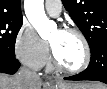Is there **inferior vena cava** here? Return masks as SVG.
<instances>
[{"label": "inferior vena cava", "mask_w": 107, "mask_h": 89, "mask_svg": "<svg viewBox=\"0 0 107 89\" xmlns=\"http://www.w3.org/2000/svg\"><path fill=\"white\" fill-rule=\"evenodd\" d=\"M18 75L25 79H39V76L35 72L29 70L26 67H21Z\"/></svg>", "instance_id": "602c4592"}]
</instances>
